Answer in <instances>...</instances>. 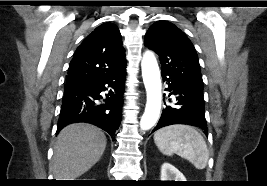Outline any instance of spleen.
<instances>
[{"label":"spleen","mask_w":267,"mask_h":186,"mask_svg":"<svg viewBox=\"0 0 267 186\" xmlns=\"http://www.w3.org/2000/svg\"><path fill=\"white\" fill-rule=\"evenodd\" d=\"M154 142L165 155L174 153L188 160L197 169H204L209 159V152L203 136L188 125H171L154 134Z\"/></svg>","instance_id":"3e777b00"}]
</instances>
